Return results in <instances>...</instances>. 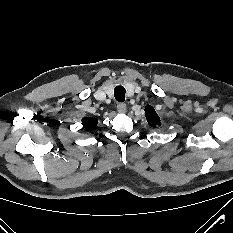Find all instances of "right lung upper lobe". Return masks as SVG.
<instances>
[{
    "label": "right lung upper lobe",
    "mask_w": 233,
    "mask_h": 233,
    "mask_svg": "<svg viewBox=\"0 0 233 233\" xmlns=\"http://www.w3.org/2000/svg\"><path fill=\"white\" fill-rule=\"evenodd\" d=\"M97 123L98 121L94 118L86 117L82 119V124L86 130H92L96 127Z\"/></svg>",
    "instance_id": "1"
}]
</instances>
